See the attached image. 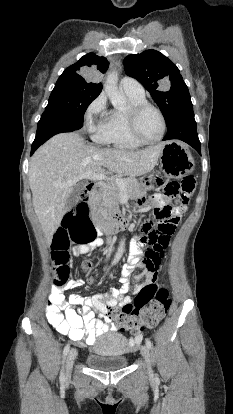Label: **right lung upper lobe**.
<instances>
[{
  "mask_svg": "<svg viewBox=\"0 0 233 414\" xmlns=\"http://www.w3.org/2000/svg\"><path fill=\"white\" fill-rule=\"evenodd\" d=\"M108 67L109 63L106 58L89 53L83 56L77 63L65 69L58 82L101 92L102 84L91 82V79L96 73H105ZM80 70L83 71L84 77L79 74Z\"/></svg>",
  "mask_w": 233,
  "mask_h": 414,
  "instance_id": "right-lung-upper-lobe-1",
  "label": "right lung upper lobe"
}]
</instances>
